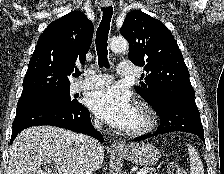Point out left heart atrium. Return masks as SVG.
I'll list each match as a JSON object with an SVG mask.
<instances>
[{
	"mask_svg": "<svg viewBox=\"0 0 224 174\" xmlns=\"http://www.w3.org/2000/svg\"><path fill=\"white\" fill-rule=\"evenodd\" d=\"M87 104L105 123L119 129L129 126L137 110L131 96L114 86L92 92Z\"/></svg>",
	"mask_w": 224,
	"mask_h": 174,
	"instance_id": "39dd6f15",
	"label": "left heart atrium"
}]
</instances>
